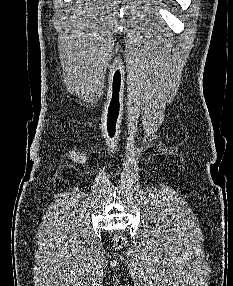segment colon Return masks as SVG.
I'll list each match as a JSON object with an SVG mask.
<instances>
[{"label": "colon", "instance_id": "obj_1", "mask_svg": "<svg viewBox=\"0 0 233 286\" xmlns=\"http://www.w3.org/2000/svg\"><path fill=\"white\" fill-rule=\"evenodd\" d=\"M122 239H123L122 237L116 238L115 242L117 246L121 245Z\"/></svg>", "mask_w": 233, "mask_h": 286}]
</instances>
